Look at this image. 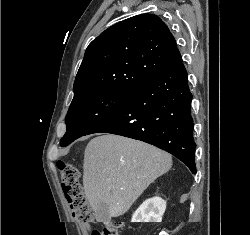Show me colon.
<instances>
[{
    "label": "colon",
    "instance_id": "colon-1",
    "mask_svg": "<svg viewBox=\"0 0 250 235\" xmlns=\"http://www.w3.org/2000/svg\"><path fill=\"white\" fill-rule=\"evenodd\" d=\"M59 169L62 190L72 217L87 228L89 235H119L121 223L116 221L106 222L99 229L92 227L94 216L83 193L78 168L73 164L62 162L59 164Z\"/></svg>",
    "mask_w": 250,
    "mask_h": 235
}]
</instances>
